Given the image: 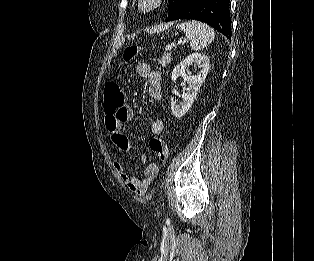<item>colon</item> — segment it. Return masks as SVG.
I'll return each instance as SVG.
<instances>
[{"label": "colon", "instance_id": "colon-1", "mask_svg": "<svg viewBox=\"0 0 314 261\" xmlns=\"http://www.w3.org/2000/svg\"><path fill=\"white\" fill-rule=\"evenodd\" d=\"M139 54V48L128 46L123 53V59L130 62ZM125 103V94L121 85L117 81H111L105 87L104 109L113 112ZM150 148L160 161H165L169 156V149L162 139L153 137L150 140Z\"/></svg>", "mask_w": 314, "mask_h": 261}]
</instances>
